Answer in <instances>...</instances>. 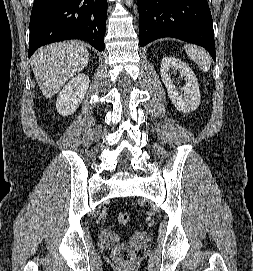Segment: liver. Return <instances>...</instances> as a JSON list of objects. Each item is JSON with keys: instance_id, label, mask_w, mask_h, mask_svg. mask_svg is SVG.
<instances>
[{"instance_id": "6515ba94", "label": "liver", "mask_w": 253, "mask_h": 271, "mask_svg": "<svg viewBox=\"0 0 253 271\" xmlns=\"http://www.w3.org/2000/svg\"><path fill=\"white\" fill-rule=\"evenodd\" d=\"M89 62V52L79 41L53 43L40 48L32 57L33 73L42 94L53 97Z\"/></svg>"}]
</instances>
